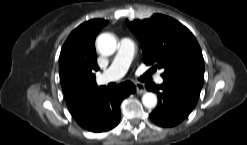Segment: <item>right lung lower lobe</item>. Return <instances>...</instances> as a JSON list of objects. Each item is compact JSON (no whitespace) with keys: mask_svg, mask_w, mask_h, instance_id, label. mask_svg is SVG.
I'll return each mask as SVG.
<instances>
[{"mask_svg":"<svg viewBox=\"0 0 247 145\" xmlns=\"http://www.w3.org/2000/svg\"><path fill=\"white\" fill-rule=\"evenodd\" d=\"M135 89V85L129 81L114 89L102 87L69 107V111L84 129L92 132L108 131L120 121V103Z\"/></svg>","mask_w":247,"mask_h":145,"instance_id":"obj_1","label":"right lung lower lobe"}]
</instances>
